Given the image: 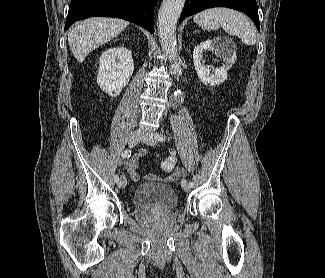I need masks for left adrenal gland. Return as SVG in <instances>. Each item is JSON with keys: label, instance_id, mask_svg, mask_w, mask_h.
Returning <instances> with one entry per match:
<instances>
[{"label": "left adrenal gland", "instance_id": "a2214340", "mask_svg": "<svg viewBox=\"0 0 325 278\" xmlns=\"http://www.w3.org/2000/svg\"><path fill=\"white\" fill-rule=\"evenodd\" d=\"M198 32V30H195L194 33Z\"/></svg>", "mask_w": 325, "mask_h": 278}]
</instances>
